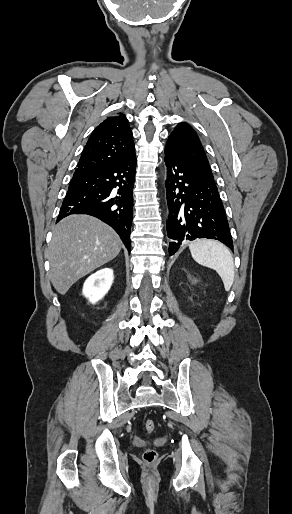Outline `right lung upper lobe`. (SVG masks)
<instances>
[{
  "label": "right lung upper lobe",
  "instance_id": "right-lung-upper-lobe-1",
  "mask_svg": "<svg viewBox=\"0 0 292 514\" xmlns=\"http://www.w3.org/2000/svg\"><path fill=\"white\" fill-rule=\"evenodd\" d=\"M135 155L133 134L124 114L108 117L89 137L77 169H96L120 163Z\"/></svg>",
  "mask_w": 292,
  "mask_h": 514
}]
</instances>
